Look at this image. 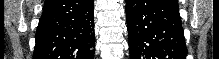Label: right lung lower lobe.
<instances>
[{"mask_svg":"<svg viewBox=\"0 0 219 59\" xmlns=\"http://www.w3.org/2000/svg\"><path fill=\"white\" fill-rule=\"evenodd\" d=\"M93 0H46L33 59H93Z\"/></svg>","mask_w":219,"mask_h":59,"instance_id":"right-lung-lower-lobe-1","label":"right lung lower lobe"}]
</instances>
